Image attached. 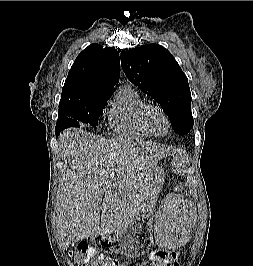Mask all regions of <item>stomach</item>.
Wrapping results in <instances>:
<instances>
[{
    "label": "stomach",
    "mask_w": 253,
    "mask_h": 266,
    "mask_svg": "<svg viewBox=\"0 0 253 266\" xmlns=\"http://www.w3.org/2000/svg\"><path fill=\"white\" fill-rule=\"evenodd\" d=\"M153 241V222L149 205L132 225L118 234L94 238L95 244L101 251L117 252L126 258H138L144 255L149 251ZM162 247L168 248V246Z\"/></svg>",
    "instance_id": "stomach-1"
}]
</instances>
